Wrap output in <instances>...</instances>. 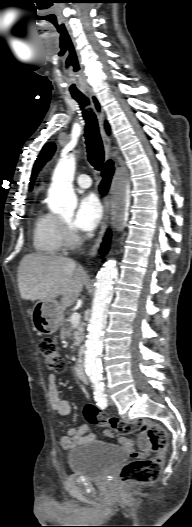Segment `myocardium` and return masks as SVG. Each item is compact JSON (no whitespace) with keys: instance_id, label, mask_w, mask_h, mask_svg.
I'll return each mask as SVG.
<instances>
[{"instance_id":"1","label":"myocardium","mask_w":192,"mask_h":527,"mask_svg":"<svg viewBox=\"0 0 192 527\" xmlns=\"http://www.w3.org/2000/svg\"><path fill=\"white\" fill-rule=\"evenodd\" d=\"M64 243L67 246H76L80 242L79 236L70 228L66 220H62Z\"/></svg>"}]
</instances>
